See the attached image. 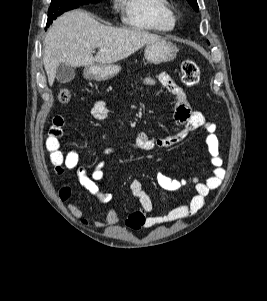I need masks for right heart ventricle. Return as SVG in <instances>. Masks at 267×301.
<instances>
[{"mask_svg": "<svg viewBox=\"0 0 267 301\" xmlns=\"http://www.w3.org/2000/svg\"><path fill=\"white\" fill-rule=\"evenodd\" d=\"M124 23L137 30L171 31L176 19L169 0H116Z\"/></svg>", "mask_w": 267, "mask_h": 301, "instance_id": "right-heart-ventricle-1", "label": "right heart ventricle"}]
</instances>
